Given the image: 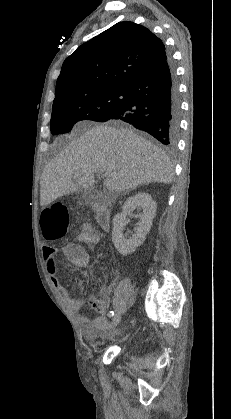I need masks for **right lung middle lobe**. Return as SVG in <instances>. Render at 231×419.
I'll list each match as a JSON object with an SVG mask.
<instances>
[{"instance_id":"dd1d6c3e","label":"right lung middle lobe","mask_w":231,"mask_h":419,"mask_svg":"<svg viewBox=\"0 0 231 419\" xmlns=\"http://www.w3.org/2000/svg\"><path fill=\"white\" fill-rule=\"evenodd\" d=\"M125 89L106 88L53 103L51 132H70L82 120L105 121L124 101Z\"/></svg>"}]
</instances>
